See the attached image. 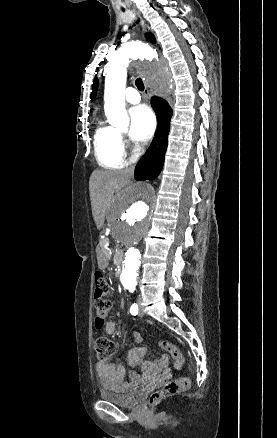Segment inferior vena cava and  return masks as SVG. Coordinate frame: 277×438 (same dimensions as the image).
<instances>
[{"mask_svg":"<svg viewBox=\"0 0 277 438\" xmlns=\"http://www.w3.org/2000/svg\"><path fill=\"white\" fill-rule=\"evenodd\" d=\"M134 170H135V166H129V168H125L124 174H126V176H129V178H133Z\"/></svg>","mask_w":277,"mask_h":438,"instance_id":"inferior-vena-cava-1","label":"inferior vena cava"}]
</instances>
